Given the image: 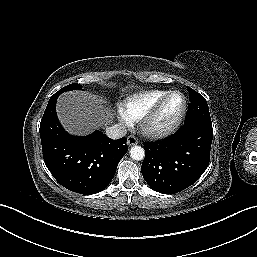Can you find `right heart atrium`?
I'll return each mask as SVG.
<instances>
[{
  "label": "right heart atrium",
  "instance_id": "1",
  "mask_svg": "<svg viewBox=\"0 0 257 257\" xmlns=\"http://www.w3.org/2000/svg\"><path fill=\"white\" fill-rule=\"evenodd\" d=\"M120 119H121V122L126 125V124H129L130 122L123 116V114L121 113L120 115Z\"/></svg>",
  "mask_w": 257,
  "mask_h": 257
}]
</instances>
